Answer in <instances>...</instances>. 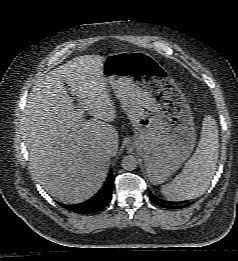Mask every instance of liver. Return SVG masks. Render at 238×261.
Returning <instances> with one entry per match:
<instances>
[{"instance_id": "1", "label": "liver", "mask_w": 238, "mask_h": 261, "mask_svg": "<svg viewBox=\"0 0 238 261\" xmlns=\"http://www.w3.org/2000/svg\"><path fill=\"white\" fill-rule=\"evenodd\" d=\"M104 59L79 56L40 77L24 111L21 129L31 174L64 203L82 202L96 193L118 151V132L111 124L116 110L102 76ZM64 81L77 96V106ZM80 112L92 118L85 121Z\"/></svg>"}]
</instances>
